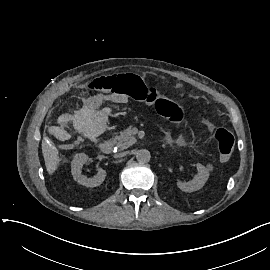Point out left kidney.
<instances>
[{
  "label": "left kidney",
  "instance_id": "obj_1",
  "mask_svg": "<svg viewBox=\"0 0 270 270\" xmlns=\"http://www.w3.org/2000/svg\"><path fill=\"white\" fill-rule=\"evenodd\" d=\"M197 174L195 175L194 179L189 181L188 183L178 182L177 186L183 192L191 193L202 189L209 177V173L207 169L200 163L196 164Z\"/></svg>",
  "mask_w": 270,
  "mask_h": 270
}]
</instances>
